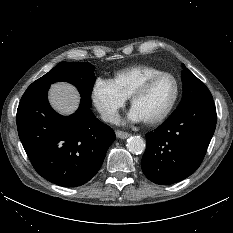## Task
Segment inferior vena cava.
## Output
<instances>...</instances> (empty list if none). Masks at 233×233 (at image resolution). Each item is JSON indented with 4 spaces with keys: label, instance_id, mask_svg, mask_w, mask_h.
I'll list each match as a JSON object with an SVG mask.
<instances>
[{
    "label": "inferior vena cava",
    "instance_id": "inferior-vena-cava-1",
    "mask_svg": "<svg viewBox=\"0 0 233 233\" xmlns=\"http://www.w3.org/2000/svg\"><path fill=\"white\" fill-rule=\"evenodd\" d=\"M101 118L103 121L105 122H111L113 124H117L120 121V118L118 115L112 113V112H108V111H103L101 113Z\"/></svg>",
    "mask_w": 233,
    "mask_h": 233
}]
</instances>
